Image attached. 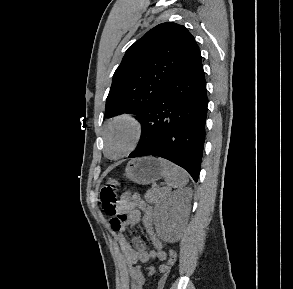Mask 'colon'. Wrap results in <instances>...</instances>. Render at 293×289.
I'll use <instances>...</instances> for the list:
<instances>
[{"label":"colon","instance_id":"colon-1","mask_svg":"<svg viewBox=\"0 0 293 289\" xmlns=\"http://www.w3.org/2000/svg\"><path fill=\"white\" fill-rule=\"evenodd\" d=\"M119 183L114 179H109L106 185L102 188L100 192V201L104 212L113 217L112 224L115 230L122 229L123 225L120 221L115 219L117 215V192ZM177 260V255L174 250L169 251V256L167 262L162 266L160 270V279L158 280L157 289H162L165 279L170 272L171 268L175 265Z\"/></svg>","mask_w":293,"mask_h":289}]
</instances>
